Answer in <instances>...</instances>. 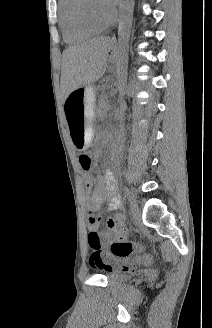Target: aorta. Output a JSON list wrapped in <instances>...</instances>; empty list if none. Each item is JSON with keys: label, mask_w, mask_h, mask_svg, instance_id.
<instances>
[{"label": "aorta", "mask_w": 212, "mask_h": 328, "mask_svg": "<svg viewBox=\"0 0 212 328\" xmlns=\"http://www.w3.org/2000/svg\"><path fill=\"white\" fill-rule=\"evenodd\" d=\"M134 0H121L120 20L118 26V60H117V89L119 91V115L121 134L123 135V122L125 116L126 102L125 87L128 70L127 48L133 21Z\"/></svg>", "instance_id": "1"}]
</instances>
